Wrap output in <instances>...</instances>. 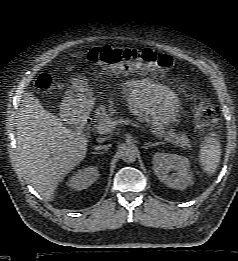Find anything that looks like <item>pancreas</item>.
Listing matches in <instances>:
<instances>
[{"mask_svg":"<svg viewBox=\"0 0 238 261\" xmlns=\"http://www.w3.org/2000/svg\"><path fill=\"white\" fill-rule=\"evenodd\" d=\"M117 115L114 105L111 103L109 106L100 105L95 110V123L99 124L108 118ZM147 126L150 127L151 132L158 138L164 139L165 141L172 143L175 147L182 149H191L189 138L184 133H176L173 129H167L161 123H151Z\"/></svg>","mask_w":238,"mask_h":261,"instance_id":"1","label":"pancreas"}]
</instances>
